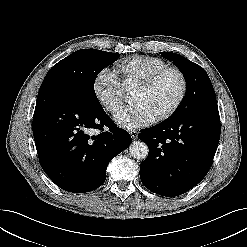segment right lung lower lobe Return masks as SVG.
<instances>
[{"label":"right lung lower lobe","mask_w":247,"mask_h":247,"mask_svg":"<svg viewBox=\"0 0 247 247\" xmlns=\"http://www.w3.org/2000/svg\"><path fill=\"white\" fill-rule=\"evenodd\" d=\"M101 130L98 135L88 133ZM33 135L39 162L60 188L84 193L100 187L109 162L130 143L102 106L68 89L38 93Z\"/></svg>","instance_id":"98d812e1"}]
</instances>
